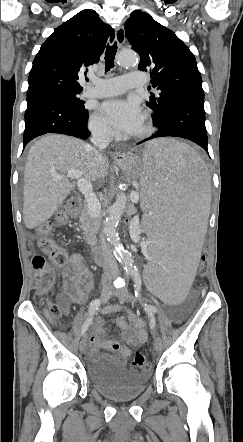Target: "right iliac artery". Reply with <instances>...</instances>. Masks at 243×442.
Here are the masks:
<instances>
[{"instance_id":"1","label":"right iliac artery","mask_w":243,"mask_h":442,"mask_svg":"<svg viewBox=\"0 0 243 442\" xmlns=\"http://www.w3.org/2000/svg\"><path fill=\"white\" fill-rule=\"evenodd\" d=\"M126 276H129V273L126 274ZM101 304V300L99 298L94 299L89 306V310H88V318L86 319V321L84 322L83 326H82V331L81 334H85L86 331L89 328V325L92 323V319L93 316L95 314V312L97 311V309L99 308Z\"/></svg>"}]
</instances>
